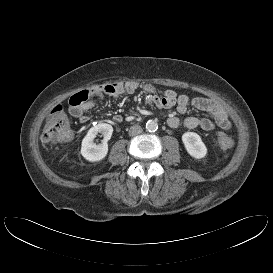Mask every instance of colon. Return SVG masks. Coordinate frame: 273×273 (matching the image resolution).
<instances>
[{
	"instance_id": "colon-1",
	"label": "colon",
	"mask_w": 273,
	"mask_h": 273,
	"mask_svg": "<svg viewBox=\"0 0 273 273\" xmlns=\"http://www.w3.org/2000/svg\"><path fill=\"white\" fill-rule=\"evenodd\" d=\"M93 90H82L70 99L72 105H80L86 101ZM73 137L72 123L69 116L61 106H56L50 112L43 130V140L57 144L70 140ZM215 144L222 150H230L235 141L225 133L219 132L215 137Z\"/></svg>"
}]
</instances>
